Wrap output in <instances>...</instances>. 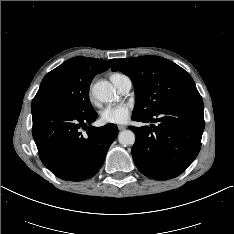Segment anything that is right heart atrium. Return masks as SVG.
Returning a JSON list of instances; mask_svg holds the SVG:
<instances>
[{"instance_id": "right-heart-atrium-1", "label": "right heart atrium", "mask_w": 234, "mask_h": 234, "mask_svg": "<svg viewBox=\"0 0 234 234\" xmlns=\"http://www.w3.org/2000/svg\"><path fill=\"white\" fill-rule=\"evenodd\" d=\"M90 99H91V101H93L91 94H90Z\"/></svg>"}]
</instances>
